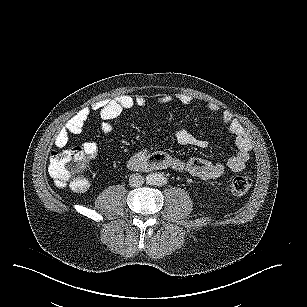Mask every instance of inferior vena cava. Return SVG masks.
<instances>
[{"instance_id": "602c4592", "label": "inferior vena cava", "mask_w": 307, "mask_h": 307, "mask_svg": "<svg viewBox=\"0 0 307 307\" xmlns=\"http://www.w3.org/2000/svg\"><path fill=\"white\" fill-rule=\"evenodd\" d=\"M144 183V176L138 173L131 174L129 176V185L133 188L142 186Z\"/></svg>"}]
</instances>
